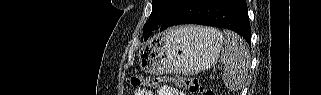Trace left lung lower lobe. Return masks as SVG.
<instances>
[{
	"instance_id": "0a47b994",
	"label": "left lung lower lobe",
	"mask_w": 321,
	"mask_h": 95,
	"mask_svg": "<svg viewBox=\"0 0 321 95\" xmlns=\"http://www.w3.org/2000/svg\"><path fill=\"white\" fill-rule=\"evenodd\" d=\"M180 24L227 28L251 45L246 0H178L160 26V31Z\"/></svg>"
}]
</instances>
